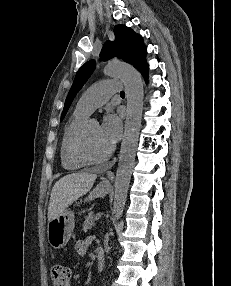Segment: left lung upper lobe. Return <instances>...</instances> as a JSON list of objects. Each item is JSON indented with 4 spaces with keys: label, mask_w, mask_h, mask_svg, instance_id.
Here are the masks:
<instances>
[{
    "label": "left lung upper lobe",
    "mask_w": 231,
    "mask_h": 286,
    "mask_svg": "<svg viewBox=\"0 0 231 286\" xmlns=\"http://www.w3.org/2000/svg\"><path fill=\"white\" fill-rule=\"evenodd\" d=\"M114 34L115 41H107L104 44L100 53V58L105 61L117 56L118 58H121L123 61L130 63L135 68L140 70L146 64V48L144 46L142 37L135 34L130 28L123 25L115 26ZM95 66V61L90 60L78 70L73 85L66 98L61 120H63L64 116L66 115L68 108L70 107L78 91L82 88L84 83L94 71Z\"/></svg>",
    "instance_id": "left-lung-upper-lobe-1"
}]
</instances>
